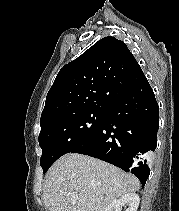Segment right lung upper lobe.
I'll list each match as a JSON object with an SVG mask.
<instances>
[{
    "label": "right lung upper lobe",
    "mask_w": 179,
    "mask_h": 211,
    "mask_svg": "<svg viewBox=\"0 0 179 211\" xmlns=\"http://www.w3.org/2000/svg\"><path fill=\"white\" fill-rule=\"evenodd\" d=\"M145 75L123 41L105 37L65 65L50 88L40 126L92 108H108Z\"/></svg>",
    "instance_id": "1"
}]
</instances>
